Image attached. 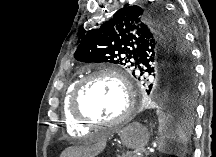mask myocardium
<instances>
[{"label":"myocardium","mask_w":216,"mask_h":157,"mask_svg":"<svg viewBox=\"0 0 216 157\" xmlns=\"http://www.w3.org/2000/svg\"><path fill=\"white\" fill-rule=\"evenodd\" d=\"M97 77H108L115 80L123 90L126 106L122 114L113 121H100L86 115L80 106L81 96L83 94L86 85L94 78ZM134 96L126 78L113 68H102L98 69L77 81L70 100V112L72 116L80 123L94 127V126H105V127H118L126 124L131 118L134 111Z\"/></svg>","instance_id":"1"}]
</instances>
